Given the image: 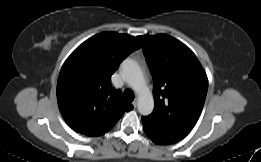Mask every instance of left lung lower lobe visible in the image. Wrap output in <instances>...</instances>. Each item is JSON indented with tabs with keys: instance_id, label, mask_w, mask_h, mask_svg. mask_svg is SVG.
I'll return each instance as SVG.
<instances>
[{
	"instance_id": "obj_1",
	"label": "left lung lower lobe",
	"mask_w": 261,
	"mask_h": 162,
	"mask_svg": "<svg viewBox=\"0 0 261 162\" xmlns=\"http://www.w3.org/2000/svg\"><path fill=\"white\" fill-rule=\"evenodd\" d=\"M143 122V129L147 136L156 144L159 145H169L178 142L181 140V138L174 137L168 134H165L161 131H159L157 128H155L150 123L142 120Z\"/></svg>"
}]
</instances>
